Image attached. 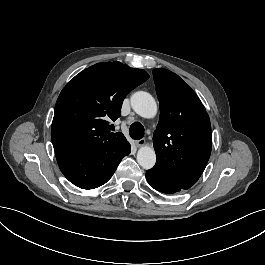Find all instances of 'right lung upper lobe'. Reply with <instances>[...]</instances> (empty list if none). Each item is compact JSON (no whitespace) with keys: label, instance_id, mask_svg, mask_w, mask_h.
Here are the masks:
<instances>
[{"label":"right lung upper lobe","instance_id":"obj_1","mask_svg":"<svg viewBox=\"0 0 265 265\" xmlns=\"http://www.w3.org/2000/svg\"><path fill=\"white\" fill-rule=\"evenodd\" d=\"M148 78L144 70L117 61L92 65L76 75L56 102L51 127L55 151L99 150L127 141L122 133L110 132L111 122L120 117L126 95Z\"/></svg>","mask_w":265,"mask_h":265}]
</instances>
